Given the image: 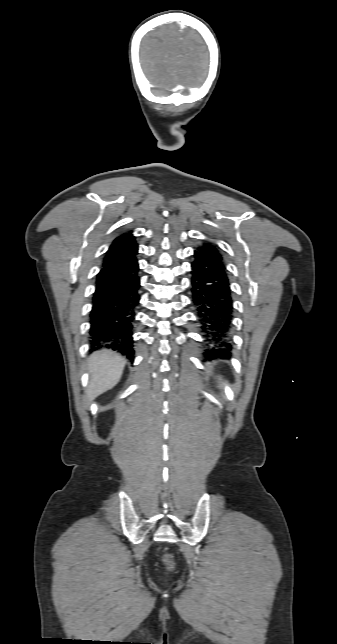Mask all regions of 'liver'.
Wrapping results in <instances>:
<instances>
[{
    "instance_id": "1",
    "label": "liver",
    "mask_w": 337,
    "mask_h": 644,
    "mask_svg": "<svg viewBox=\"0 0 337 644\" xmlns=\"http://www.w3.org/2000/svg\"><path fill=\"white\" fill-rule=\"evenodd\" d=\"M126 360L111 350L102 349L89 357L90 381L86 391L89 401L113 388L120 380Z\"/></svg>"
}]
</instances>
